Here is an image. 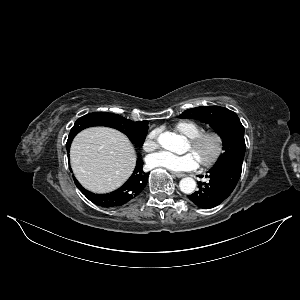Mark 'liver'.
<instances>
[{"mask_svg":"<svg viewBox=\"0 0 300 300\" xmlns=\"http://www.w3.org/2000/svg\"><path fill=\"white\" fill-rule=\"evenodd\" d=\"M70 159L72 170L86 189L107 193L119 188L132 174L135 150L121 132L92 127L74 138Z\"/></svg>","mask_w":300,"mask_h":300,"instance_id":"1","label":"liver"}]
</instances>
